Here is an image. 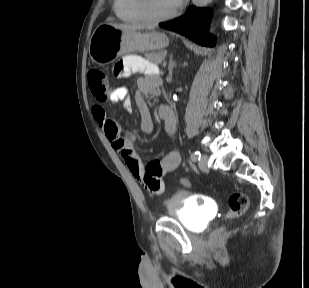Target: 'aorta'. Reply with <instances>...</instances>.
I'll return each mask as SVG.
<instances>
[{"label":"aorta","mask_w":309,"mask_h":288,"mask_svg":"<svg viewBox=\"0 0 309 288\" xmlns=\"http://www.w3.org/2000/svg\"><path fill=\"white\" fill-rule=\"evenodd\" d=\"M193 4L197 7H203L212 2V0H192Z\"/></svg>","instance_id":"762f6f07"}]
</instances>
